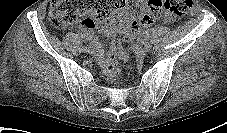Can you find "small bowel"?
<instances>
[{
    "label": "small bowel",
    "instance_id": "obj_1",
    "mask_svg": "<svg viewBox=\"0 0 227 133\" xmlns=\"http://www.w3.org/2000/svg\"><path fill=\"white\" fill-rule=\"evenodd\" d=\"M137 2L143 5V0H137ZM133 18V14L129 6V0H126L124 5H121L119 8L114 10L111 17L98 22L97 27L107 36L125 35L132 30ZM173 20L174 18L171 16L164 17V21L167 23L172 22ZM81 36L95 48L96 57L101 60L102 51L99 48L98 42L93 37L92 30L86 28L81 29Z\"/></svg>",
    "mask_w": 227,
    "mask_h": 133
}]
</instances>
